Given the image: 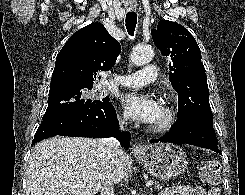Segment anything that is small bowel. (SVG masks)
Listing matches in <instances>:
<instances>
[{"mask_svg": "<svg viewBox=\"0 0 245 195\" xmlns=\"http://www.w3.org/2000/svg\"><path fill=\"white\" fill-rule=\"evenodd\" d=\"M160 195H207V191L200 186L168 187Z\"/></svg>", "mask_w": 245, "mask_h": 195, "instance_id": "obj_1", "label": "small bowel"}]
</instances>
